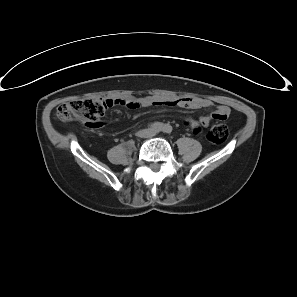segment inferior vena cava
Here are the masks:
<instances>
[{
  "mask_svg": "<svg viewBox=\"0 0 297 297\" xmlns=\"http://www.w3.org/2000/svg\"><path fill=\"white\" fill-rule=\"evenodd\" d=\"M154 135H155V132H152V133H151V136H154Z\"/></svg>",
  "mask_w": 297,
  "mask_h": 297,
  "instance_id": "inferior-vena-cava-1",
  "label": "inferior vena cava"
}]
</instances>
